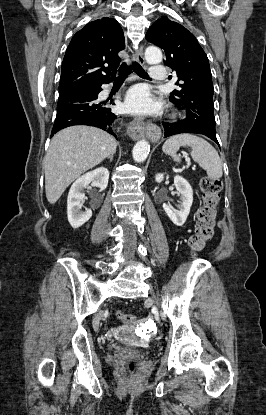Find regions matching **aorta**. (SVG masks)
I'll return each instance as SVG.
<instances>
[{
  "mask_svg": "<svg viewBox=\"0 0 266 415\" xmlns=\"http://www.w3.org/2000/svg\"><path fill=\"white\" fill-rule=\"evenodd\" d=\"M145 59L149 64H158L162 61V52L157 47H148L145 51ZM149 151V143L145 140H140L133 148V159L136 162H143L146 160Z\"/></svg>",
  "mask_w": 266,
  "mask_h": 415,
  "instance_id": "1",
  "label": "aorta"
}]
</instances>
